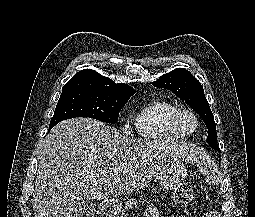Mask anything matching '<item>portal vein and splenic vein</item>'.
<instances>
[{
  "label": "portal vein and splenic vein",
  "instance_id": "portal-vein-and-splenic-vein-1",
  "mask_svg": "<svg viewBox=\"0 0 255 217\" xmlns=\"http://www.w3.org/2000/svg\"><path fill=\"white\" fill-rule=\"evenodd\" d=\"M114 172L116 173V172H118V171L115 169Z\"/></svg>",
  "mask_w": 255,
  "mask_h": 217
}]
</instances>
